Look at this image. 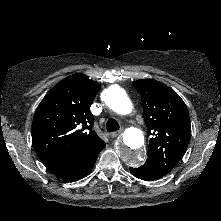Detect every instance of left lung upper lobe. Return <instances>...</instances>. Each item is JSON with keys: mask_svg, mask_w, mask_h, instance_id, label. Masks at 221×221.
<instances>
[{"mask_svg": "<svg viewBox=\"0 0 221 221\" xmlns=\"http://www.w3.org/2000/svg\"><path fill=\"white\" fill-rule=\"evenodd\" d=\"M132 85L141 94L144 120L152 136L147 161L167 174L183 157L190 140L188 110L181 97L159 81L140 79Z\"/></svg>", "mask_w": 221, "mask_h": 221, "instance_id": "left-lung-upper-lobe-1", "label": "left lung upper lobe"}]
</instances>
